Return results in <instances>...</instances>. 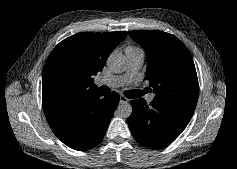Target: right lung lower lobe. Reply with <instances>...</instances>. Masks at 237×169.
Here are the masks:
<instances>
[{"instance_id": "right-lung-lower-lobe-1", "label": "right lung lower lobe", "mask_w": 237, "mask_h": 169, "mask_svg": "<svg viewBox=\"0 0 237 169\" xmlns=\"http://www.w3.org/2000/svg\"><path fill=\"white\" fill-rule=\"evenodd\" d=\"M118 103L116 92L103 96L94 89L46 118L64 144L79 151L89 150L102 141Z\"/></svg>"}]
</instances>
